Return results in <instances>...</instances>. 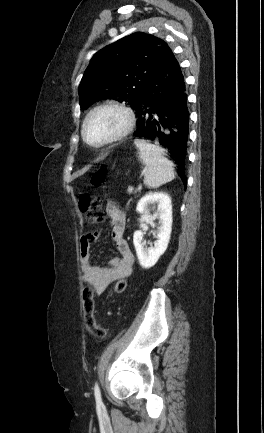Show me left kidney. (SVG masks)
<instances>
[{
    "instance_id": "obj_1",
    "label": "left kidney",
    "mask_w": 264,
    "mask_h": 433,
    "mask_svg": "<svg viewBox=\"0 0 264 433\" xmlns=\"http://www.w3.org/2000/svg\"><path fill=\"white\" fill-rule=\"evenodd\" d=\"M154 203L158 207V211L154 216L159 219L160 224L154 247H144L143 232L141 230L136 231L133 235V243L139 263L145 269L153 267L160 256L164 254L172 231V205L171 198L167 193L155 192L146 194L139 200L136 209L143 216H147L149 213L148 206Z\"/></svg>"
}]
</instances>
